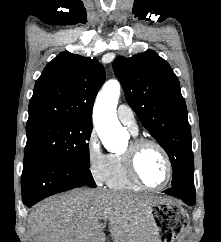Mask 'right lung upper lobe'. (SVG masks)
<instances>
[{"instance_id":"cb5924a9","label":"right lung upper lobe","mask_w":221,"mask_h":242,"mask_svg":"<svg viewBox=\"0 0 221 242\" xmlns=\"http://www.w3.org/2000/svg\"><path fill=\"white\" fill-rule=\"evenodd\" d=\"M104 81L105 70L98 60L60 53L36 81L27 126L51 121L92 123L93 103Z\"/></svg>"}]
</instances>
